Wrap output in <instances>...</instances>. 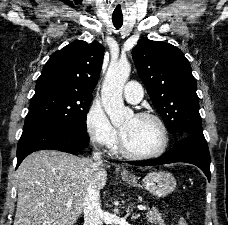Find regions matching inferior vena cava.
<instances>
[{
    "mask_svg": "<svg viewBox=\"0 0 228 225\" xmlns=\"http://www.w3.org/2000/svg\"><path fill=\"white\" fill-rule=\"evenodd\" d=\"M94 161L102 165L100 153H93ZM96 175L86 185L84 203V225H103V211L100 207V191L96 183Z\"/></svg>",
    "mask_w": 228,
    "mask_h": 225,
    "instance_id": "602c4592",
    "label": "inferior vena cava"
}]
</instances>
